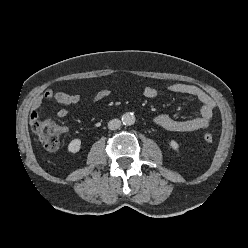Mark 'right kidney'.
I'll return each instance as SVG.
<instances>
[{"instance_id": "right-kidney-1", "label": "right kidney", "mask_w": 248, "mask_h": 248, "mask_svg": "<svg viewBox=\"0 0 248 248\" xmlns=\"http://www.w3.org/2000/svg\"><path fill=\"white\" fill-rule=\"evenodd\" d=\"M81 148V140L74 139L68 145V151L71 153H77Z\"/></svg>"}]
</instances>
